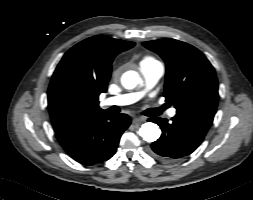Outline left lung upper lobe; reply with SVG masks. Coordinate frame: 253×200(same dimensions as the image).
I'll return each instance as SVG.
<instances>
[{
    "mask_svg": "<svg viewBox=\"0 0 253 200\" xmlns=\"http://www.w3.org/2000/svg\"><path fill=\"white\" fill-rule=\"evenodd\" d=\"M166 63L164 97L177 113L213 122L218 104V82L213 66L195 47L175 40L143 42Z\"/></svg>",
    "mask_w": 253,
    "mask_h": 200,
    "instance_id": "1",
    "label": "left lung upper lobe"
}]
</instances>
